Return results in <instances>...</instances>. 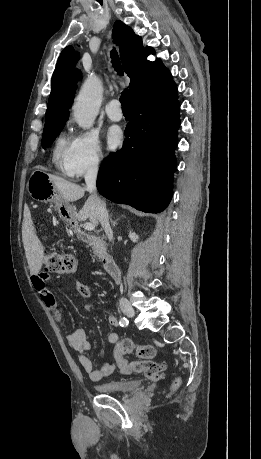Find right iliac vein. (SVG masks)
I'll use <instances>...</instances> for the list:
<instances>
[{"label": "right iliac vein", "instance_id": "right-iliac-vein-1", "mask_svg": "<svg viewBox=\"0 0 261 459\" xmlns=\"http://www.w3.org/2000/svg\"><path fill=\"white\" fill-rule=\"evenodd\" d=\"M120 308H121L122 312H123L126 316H128V317H130V318H132V317L135 316V311H134L133 307H132L129 303L123 302V303L120 305Z\"/></svg>", "mask_w": 261, "mask_h": 459}]
</instances>
